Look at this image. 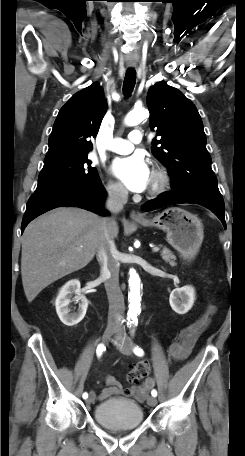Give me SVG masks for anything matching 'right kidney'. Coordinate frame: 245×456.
<instances>
[{
	"label": "right kidney",
	"instance_id": "obj_1",
	"mask_svg": "<svg viewBox=\"0 0 245 456\" xmlns=\"http://www.w3.org/2000/svg\"><path fill=\"white\" fill-rule=\"evenodd\" d=\"M71 301L79 303V309L75 313H70ZM55 307L59 319L66 326H75L84 318L88 308V300L81 294L79 280L72 279L60 289Z\"/></svg>",
	"mask_w": 245,
	"mask_h": 456
}]
</instances>
